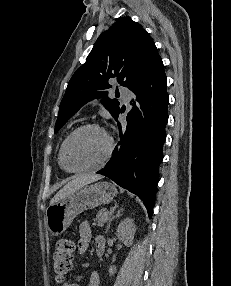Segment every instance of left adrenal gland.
<instances>
[{"mask_svg": "<svg viewBox=\"0 0 231 286\" xmlns=\"http://www.w3.org/2000/svg\"><path fill=\"white\" fill-rule=\"evenodd\" d=\"M123 210H124L123 208L118 209V211L116 212V214L111 217V219L109 220V223H108V225H107V227H106V232L109 230L110 224H111L112 220L115 219L116 217L121 216V212H122Z\"/></svg>", "mask_w": 231, "mask_h": 286, "instance_id": "obj_1", "label": "left adrenal gland"}]
</instances>
